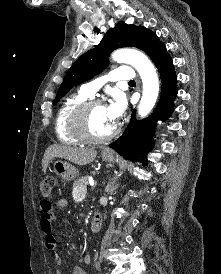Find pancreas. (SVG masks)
<instances>
[{"mask_svg":"<svg viewBox=\"0 0 221 274\" xmlns=\"http://www.w3.org/2000/svg\"><path fill=\"white\" fill-rule=\"evenodd\" d=\"M88 181H89L88 176H84V177L77 179L73 183V191L80 194L88 185Z\"/></svg>","mask_w":221,"mask_h":274,"instance_id":"pancreas-1","label":"pancreas"}]
</instances>
